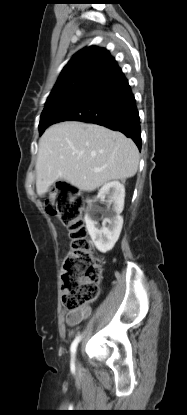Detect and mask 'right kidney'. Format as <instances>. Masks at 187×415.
<instances>
[{
  "label": "right kidney",
  "mask_w": 187,
  "mask_h": 415,
  "mask_svg": "<svg viewBox=\"0 0 187 415\" xmlns=\"http://www.w3.org/2000/svg\"><path fill=\"white\" fill-rule=\"evenodd\" d=\"M97 198L106 202L108 209L104 211L99 206L92 205L85 215V223L96 248L100 252L106 253L114 247L122 230L123 218L120 214L124 208V185L119 181L109 182L100 189ZM111 204L112 208L110 209ZM97 212H101L104 216L102 227H99L95 220L94 214Z\"/></svg>",
  "instance_id": "ca27d5eb"
}]
</instances>
